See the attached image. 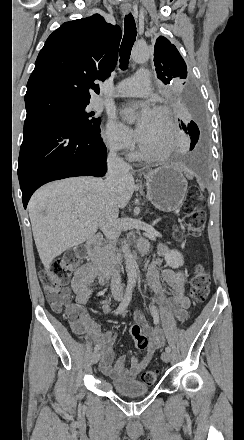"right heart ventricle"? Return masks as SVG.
Instances as JSON below:
<instances>
[{"instance_id": "obj_1", "label": "right heart ventricle", "mask_w": 244, "mask_h": 440, "mask_svg": "<svg viewBox=\"0 0 244 440\" xmlns=\"http://www.w3.org/2000/svg\"><path fill=\"white\" fill-rule=\"evenodd\" d=\"M144 153L143 152H138L136 154L133 155L134 158H144Z\"/></svg>"}]
</instances>
